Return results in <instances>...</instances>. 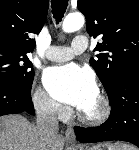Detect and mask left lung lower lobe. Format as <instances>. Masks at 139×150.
<instances>
[{
    "label": "left lung lower lobe",
    "instance_id": "0a47b994",
    "mask_svg": "<svg viewBox=\"0 0 139 150\" xmlns=\"http://www.w3.org/2000/svg\"><path fill=\"white\" fill-rule=\"evenodd\" d=\"M108 97L111 104L108 120L99 127H75L77 140L83 143L120 140L139 147V66L129 69Z\"/></svg>",
    "mask_w": 139,
    "mask_h": 150
}]
</instances>
